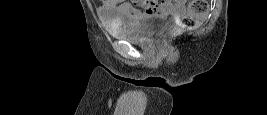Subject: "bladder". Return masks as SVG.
<instances>
[{
    "mask_svg": "<svg viewBox=\"0 0 267 115\" xmlns=\"http://www.w3.org/2000/svg\"><path fill=\"white\" fill-rule=\"evenodd\" d=\"M170 19L162 14H144L133 23L108 25V32L118 39L133 43L145 42L161 32L168 25Z\"/></svg>",
    "mask_w": 267,
    "mask_h": 115,
    "instance_id": "1",
    "label": "bladder"
}]
</instances>
